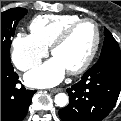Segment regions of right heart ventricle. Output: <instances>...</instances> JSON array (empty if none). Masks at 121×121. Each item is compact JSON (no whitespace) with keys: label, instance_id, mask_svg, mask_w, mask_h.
<instances>
[{"label":"right heart ventricle","instance_id":"obj_1","mask_svg":"<svg viewBox=\"0 0 121 121\" xmlns=\"http://www.w3.org/2000/svg\"><path fill=\"white\" fill-rule=\"evenodd\" d=\"M80 18L75 14L40 15L31 21L29 28L32 35L48 48L68 25Z\"/></svg>","mask_w":121,"mask_h":121}]
</instances>
